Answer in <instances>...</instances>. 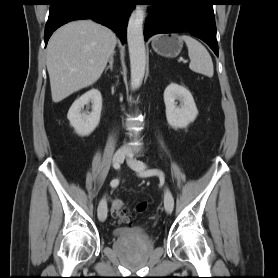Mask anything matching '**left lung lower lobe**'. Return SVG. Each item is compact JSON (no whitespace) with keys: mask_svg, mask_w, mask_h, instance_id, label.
I'll use <instances>...</instances> for the list:
<instances>
[{"mask_svg":"<svg viewBox=\"0 0 278 278\" xmlns=\"http://www.w3.org/2000/svg\"><path fill=\"white\" fill-rule=\"evenodd\" d=\"M215 0H154L146 18L144 38L188 31L218 56L213 5Z\"/></svg>","mask_w":278,"mask_h":278,"instance_id":"0a47b994","label":"left lung lower lobe"}]
</instances>
